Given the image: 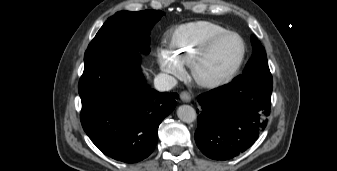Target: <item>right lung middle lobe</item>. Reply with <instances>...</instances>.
Masks as SVG:
<instances>
[{"label":"right lung middle lobe","instance_id":"obj_1","mask_svg":"<svg viewBox=\"0 0 337 171\" xmlns=\"http://www.w3.org/2000/svg\"><path fill=\"white\" fill-rule=\"evenodd\" d=\"M164 15L160 10L119 11L100 28L89 44L84 61L109 48L124 47L149 53L150 30Z\"/></svg>","mask_w":337,"mask_h":171}]
</instances>
